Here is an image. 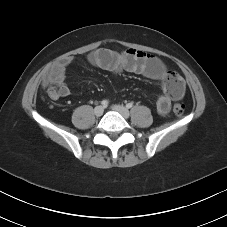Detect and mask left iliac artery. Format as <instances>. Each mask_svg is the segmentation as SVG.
<instances>
[{
  "instance_id": "left-iliac-artery-1",
  "label": "left iliac artery",
  "mask_w": 227,
  "mask_h": 227,
  "mask_svg": "<svg viewBox=\"0 0 227 227\" xmlns=\"http://www.w3.org/2000/svg\"><path fill=\"white\" fill-rule=\"evenodd\" d=\"M132 106H133V103H128V104L126 105L127 108H131Z\"/></svg>"
}]
</instances>
